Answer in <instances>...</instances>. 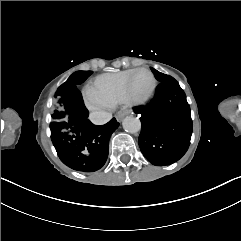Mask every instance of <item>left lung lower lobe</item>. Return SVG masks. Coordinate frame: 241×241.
I'll use <instances>...</instances> for the list:
<instances>
[{"label": "left lung lower lobe", "instance_id": "0a47b994", "mask_svg": "<svg viewBox=\"0 0 241 241\" xmlns=\"http://www.w3.org/2000/svg\"><path fill=\"white\" fill-rule=\"evenodd\" d=\"M134 112L142 125L139 147L150 163L169 165L186 153L192 134L190 106L174 78L160 82L151 103Z\"/></svg>", "mask_w": 241, "mask_h": 241}]
</instances>
